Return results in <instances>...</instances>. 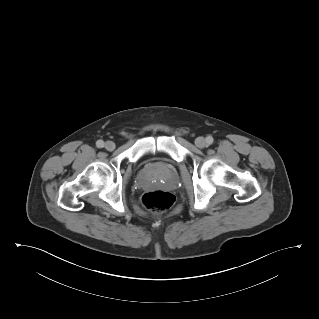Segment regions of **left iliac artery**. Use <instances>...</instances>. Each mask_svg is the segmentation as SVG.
Returning a JSON list of instances; mask_svg holds the SVG:
<instances>
[{
    "mask_svg": "<svg viewBox=\"0 0 319 319\" xmlns=\"http://www.w3.org/2000/svg\"><path fill=\"white\" fill-rule=\"evenodd\" d=\"M213 141H214V139H213L212 136H208V137L206 138V142H207V144H209V145L212 144Z\"/></svg>",
    "mask_w": 319,
    "mask_h": 319,
    "instance_id": "left-iliac-artery-1",
    "label": "left iliac artery"
}]
</instances>
